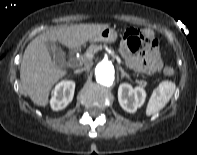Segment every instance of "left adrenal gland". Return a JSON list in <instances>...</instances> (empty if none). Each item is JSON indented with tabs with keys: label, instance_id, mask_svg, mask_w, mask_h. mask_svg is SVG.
Wrapping results in <instances>:
<instances>
[{
	"label": "left adrenal gland",
	"instance_id": "1",
	"mask_svg": "<svg viewBox=\"0 0 197 155\" xmlns=\"http://www.w3.org/2000/svg\"><path fill=\"white\" fill-rule=\"evenodd\" d=\"M119 70L121 72V78L127 77L128 79H130L129 75L124 71L122 67H119Z\"/></svg>",
	"mask_w": 197,
	"mask_h": 155
}]
</instances>
